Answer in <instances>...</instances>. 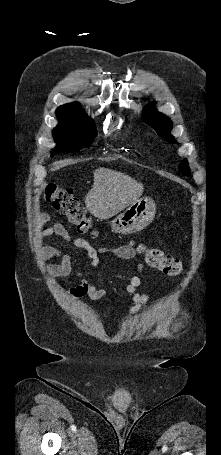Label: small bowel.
Wrapping results in <instances>:
<instances>
[{
	"label": "small bowel",
	"instance_id": "c3829d8e",
	"mask_svg": "<svg viewBox=\"0 0 221 455\" xmlns=\"http://www.w3.org/2000/svg\"><path fill=\"white\" fill-rule=\"evenodd\" d=\"M48 221L46 215H41L38 218L40 226H44ZM49 236H56L68 241L72 248L78 252L83 253L91 260L92 267H97L99 264V254L101 253H113L117 257L130 260L136 257L137 252L134 247L123 246L116 249L92 247L86 240L78 237H71L66 229L61 224H55L52 226L44 227L39 238L43 239ZM40 256L42 259H58L59 264L54 265L51 269L52 274L58 277H67L73 273L80 275V273L74 270L73 257L70 251L67 249L46 245L40 250ZM147 282L144 274V264L139 262L136 267V271L133 272L130 281L126 285V291L132 295L133 304L129 308L126 318L131 319L139 311V309L150 300V294L146 290ZM105 288H98L92 282L87 279H83L82 282L69 289V295L75 299H81L83 297H89L92 300H100L106 296Z\"/></svg>",
	"mask_w": 221,
	"mask_h": 455
}]
</instances>
